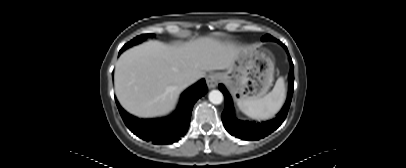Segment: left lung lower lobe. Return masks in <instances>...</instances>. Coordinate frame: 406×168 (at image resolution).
I'll return each instance as SVG.
<instances>
[{"instance_id": "1", "label": "left lung lower lobe", "mask_w": 406, "mask_h": 168, "mask_svg": "<svg viewBox=\"0 0 406 168\" xmlns=\"http://www.w3.org/2000/svg\"><path fill=\"white\" fill-rule=\"evenodd\" d=\"M280 44L287 50L284 44ZM289 61L291 63V70L289 74L288 98L282 110L277 114L276 118L270 121L259 123L238 120L234 115V108L230 94L222 84H219L218 87L223 92L225 97V108L221 115V119L225 129L232 136H236L237 138L243 140H259L272 133L282 124L287 116L294 89V66L290 56Z\"/></svg>"}]
</instances>
